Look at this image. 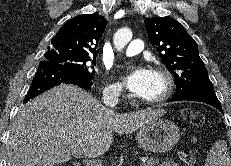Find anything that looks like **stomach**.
<instances>
[{
    "label": "stomach",
    "instance_id": "0dacf381",
    "mask_svg": "<svg viewBox=\"0 0 231 166\" xmlns=\"http://www.w3.org/2000/svg\"><path fill=\"white\" fill-rule=\"evenodd\" d=\"M179 138L177 125L161 117L143 125L136 135L141 148L156 153L168 152L177 144Z\"/></svg>",
    "mask_w": 231,
    "mask_h": 166
}]
</instances>
